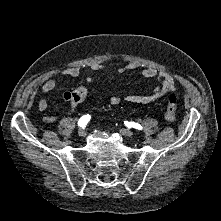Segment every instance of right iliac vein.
Returning <instances> with one entry per match:
<instances>
[{
	"label": "right iliac vein",
	"instance_id": "63e3f726",
	"mask_svg": "<svg viewBox=\"0 0 221 221\" xmlns=\"http://www.w3.org/2000/svg\"><path fill=\"white\" fill-rule=\"evenodd\" d=\"M78 135H79L80 137H84V136L86 135V131H85L83 128H80V129L78 130Z\"/></svg>",
	"mask_w": 221,
	"mask_h": 221
}]
</instances>
